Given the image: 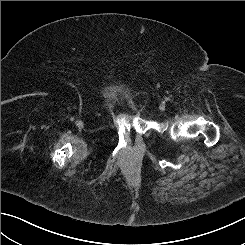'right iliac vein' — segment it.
I'll return each instance as SVG.
<instances>
[{"instance_id":"right-iliac-vein-1","label":"right iliac vein","mask_w":245,"mask_h":245,"mask_svg":"<svg viewBox=\"0 0 245 245\" xmlns=\"http://www.w3.org/2000/svg\"><path fill=\"white\" fill-rule=\"evenodd\" d=\"M81 124H82L81 121H78V122H77V125L81 126Z\"/></svg>"}]
</instances>
